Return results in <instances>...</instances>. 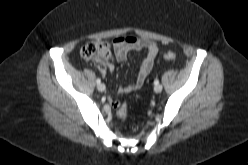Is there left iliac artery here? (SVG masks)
<instances>
[{
  "instance_id": "left-iliac-artery-1",
  "label": "left iliac artery",
  "mask_w": 248,
  "mask_h": 165,
  "mask_svg": "<svg viewBox=\"0 0 248 165\" xmlns=\"http://www.w3.org/2000/svg\"><path fill=\"white\" fill-rule=\"evenodd\" d=\"M154 84H155V85L159 84V80L156 79V80L154 81Z\"/></svg>"
}]
</instances>
